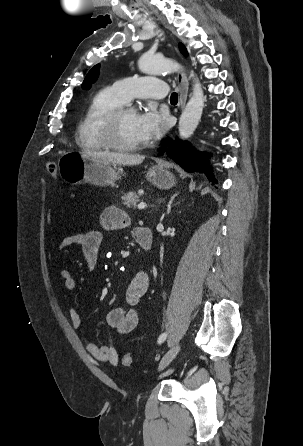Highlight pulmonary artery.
Segmentation results:
<instances>
[{"instance_id":"1","label":"pulmonary artery","mask_w":303,"mask_h":446,"mask_svg":"<svg viewBox=\"0 0 303 446\" xmlns=\"http://www.w3.org/2000/svg\"><path fill=\"white\" fill-rule=\"evenodd\" d=\"M114 89L128 102L133 98L162 99L167 94V85L156 77H127L116 81Z\"/></svg>"}]
</instances>
